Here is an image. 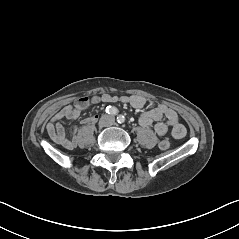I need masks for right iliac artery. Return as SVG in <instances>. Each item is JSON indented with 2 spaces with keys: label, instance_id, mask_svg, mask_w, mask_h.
Returning <instances> with one entry per match:
<instances>
[{
  "label": "right iliac artery",
  "instance_id": "obj_1",
  "mask_svg": "<svg viewBox=\"0 0 239 239\" xmlns=\"http://www.w3.org/2000/svg\"><path fill=\"white\" fill-rule=\"evenodd\" d=\"M106 112L110 115H117L118 114V109L114 106H108L106 108Z\"/></svg>",
  "mask_w": 239,
  "mask_h": 239
}]
</instances>
